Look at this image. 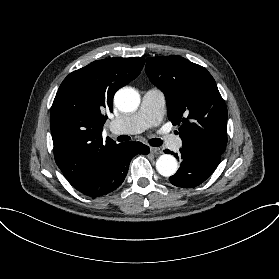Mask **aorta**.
Wrapping results in <instances>:
<instances>
[{"instance_id": "762f6f07", "label": "aorta", "mask_w": 279, "mask_h": 279, "mask_svg": "<svg viewBox=\"0 0 279 279\" xmlns=\"http://www.w3.org/2000/svg\"><path fill=\"white\" fill-rule=\"evenodd\" d=\"M115 106L123 112H131L138 108L140 95L133 88H121L114 96ZM156 169L164 177H170L177 172V160L170 154L161 155L156 161Z\"/></svg>"}]
</instances>
